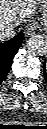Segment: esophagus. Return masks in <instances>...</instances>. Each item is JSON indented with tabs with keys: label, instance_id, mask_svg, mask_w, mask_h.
<instances>
[{
	"label": "esophagus",
	"instance_id": "obj_1",
	"mask_svg": "<svg viewBox=\"0 0 47 129\" xmlns=\"http://www.w3.org/2000/svg\"><path fill=\"white\" fill-rule=\"evenodd\" d=\"M36 28H37V26L35 23L28 24L25 28V34L26 35H33L36 31Z\"/></svg>",
	"mask_w": 47,
	"mask_h": 129
}]
</instances>
